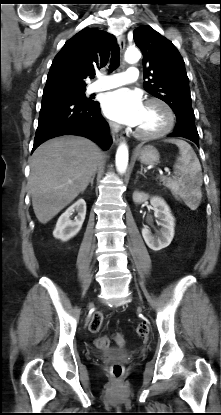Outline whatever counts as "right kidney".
I'll return each instance as SVG.
<instances>
[{"instance_id":"ca27d5eb","label":"right kidney","mask_w":221,"mask_h":415,"mask_svg":"<svg viewBox=\"0 0 221 415\" xmlns=\"http://www.w3.org/2000/svg\"><path fill=\"white\" fill-rule=\"evenodd\" d=\"M74 212H77L78 215L73 221L70 217ZM85 215L86 202L83 199H79L59 217L53 231V236L62 241H68L80 231L85 220Z\"/></svg>"}]
</instances>
